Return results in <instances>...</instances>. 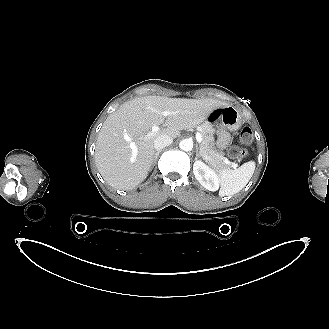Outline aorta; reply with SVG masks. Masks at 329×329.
Listing matches in <instances>:
<instances>
[{
	"label": "aorta",
	"instance_id": "1",
	"mask_svg": "<svg viewBox=\"0 0 329 329\" xmlns=\"http://www.w3.org/2000/svg\"><path fill=\"white\" fill-rule=\"evenodd\" d=\"M179 147L183 151H191L193 148V141L191 139H183L180 141Z\"/></svg>",
	"mask_w": 329,
	"mask_h": 329
}]
</instances>
